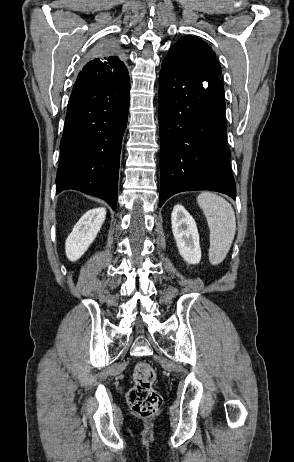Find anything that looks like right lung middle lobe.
Returning a JSON list of instances; mask_svg holds the SVG:
<instances>
[{"mask_svg":"<svg viewBox=\"0 0 294 462\" xmlns=\"http://www.w3.org/2000/svg\"><path fill=\"white\" fill-rule=\"evenodd\" d=\"M117 43L114 39L108 38L99 41L91 51V56H96L97 54L107 51V50H116Z\"/></svg>","mask_w":294,"mask_h":462,"instance_id":"right-lung-middle-lobe-1","label":"right lung middle lobe"}]
</instances>
